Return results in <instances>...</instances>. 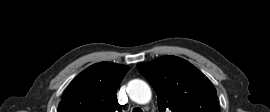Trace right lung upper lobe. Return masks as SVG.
Returning a JSON list of instances; mask_svg holds the SVG:
<instances>
[{"instance_id": "right-lung-upper-lobe-1", "label": "right lung upper lobe", "mask_w": 270, "mask_h": 112, "mask_svg": "<svg viewBox=\"0 0 270 112\" xmlns=\"http://www.w3.org/2000/svg\"><path fill=\"white\" fill-rule=\"evenodd\" d=\"M128 70L110 62L88 67L67 87L58 112H122L116 91Z\"/></svg>"}]
</instances>
